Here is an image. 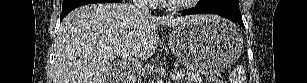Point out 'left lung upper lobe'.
<instances>
[{
    "label": "left lung upper lobe",
    "mask_w": 307,
    "mask_h": 83,
    "mask_svg": "<svg viewBox=\"0 0 307 83\" xmlns=\"http://www.w3.org/2000/svg\"><path fill=\"white\" fill-rule=\"evenodd\" d=\"M209 1L213 2L214 5H219L221 3H230L239 8V0H209Z\"/></svg>",
    "instance_id": "5c2ea615"
}]
</instances>
